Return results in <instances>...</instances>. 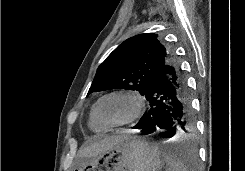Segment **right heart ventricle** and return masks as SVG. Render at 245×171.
I'll return each instance as SVG.
<instances>
[{
  "label": "right heart ventricle",
  "instance_id": "1",
  "mask_svg": "<svg viewBox=\"0 0 245 171\" xmlns=\"http://www.w3.org/2000/svg\"><path fill=\"white\" fill-rule=\"evenodd\" d=\"M89 126L95 132H105L107 127L103 126L94 115V106L91 109L90 116H89Z\"/></svg>",
  "mask_w": 245,
  "mask_h": 171
}]
</instances>
